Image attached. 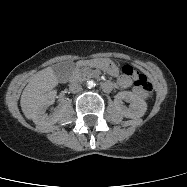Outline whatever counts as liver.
<instances>
[{
    "mask_svg": "<svg viewBox=\"0 0 187 187\" xmlns=\"http://www.w3.org/2000/svg\"><path fill=\"white\" fill-rule=\"evenodd\" d=\"M58 82L52 67H47L32 77L20 99L22 112L27 119L35 120L38 111L44 106L47 95Z\"/></svg>",
    "mask_w": 187,
    "mask_h": 187,
    "instance_id": "1",
    "label": "liver"
}]
</instances>
